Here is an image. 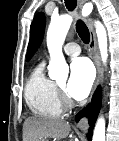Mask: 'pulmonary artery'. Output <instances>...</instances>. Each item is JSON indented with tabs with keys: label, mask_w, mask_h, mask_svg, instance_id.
Instances as JSON below:
<instances>
[{
	"label": "pulmonary artery",
	"mask_w": 119,
	"mask_h": 141,
	"mask_svg": "<svg viewBox=\"0 0 119 141\" xmlns=\"http://www.w3.org/2000/svg\"><path fill=\"white\" fill-rule=\"evenodd\" d=\"M63 51L68 56H77L81 53V48L77 43L69 42L64 46Z\"/></svg>",
	"instance_id": "e3ab8cb5"
}]
</instances>
